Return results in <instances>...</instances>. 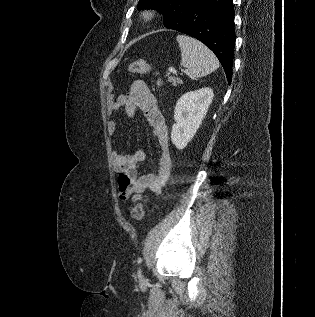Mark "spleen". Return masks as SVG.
<instances>
[{
    "label": "spleen",
    "mask_w": 315,
    "mask_h": 317,
    "mask_svg": "<svg viewBox=\"0 0 315 317\" xmlns=\"http://www.w3.org/2000/svg\"><path fill=\"white\" fill-rule=\"evenodd\" d=\"M176 39L181 50V65L189 70L191 79L206 76L219 68L218 59L203 43L186 35H178Z\"/></svg>",
    "instance_id": "spleen-1"
}]
</instances>
